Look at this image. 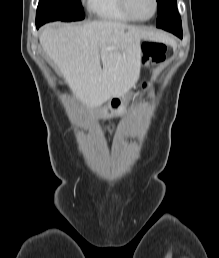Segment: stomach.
<instances>
[{"mask_svg":"<svg viewBox=\"0 0 219 258\" xmlns=\"http://www.w3.org/2000/svg\"><path fill=\"white\" fill-rule=\"evenodd\" d=\"M127 100V95H125L124 97H112L106 105L98 108L96 111L103 119L121 116L124 114L126 110Z\"/></svg>","mask_w":219,"mask_h":258,"instance_id":"stomach-1","label":"stomach"}]
</instances>
